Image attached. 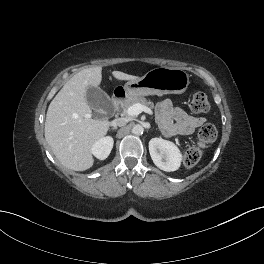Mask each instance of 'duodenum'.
Listing matches in <instances>:
<instances>
[{
	"instance_id": "obj_1",
	"label": "duodenum",
	"mask_w": 264,
	"mask_h": 264,
	"mask_svg": "<svg viewBox=\"0 0 264 264\" xmlns=\"http://www.w3.org/2000/svg\"><path fill=\"white\" fill-rule=\"evenodd\" d=\"M125 93L123 91L115 93L111 98V106L113 111H116L118 106L120 105L122 99L124 98Z\"/></svg>"
}]
</instances>
